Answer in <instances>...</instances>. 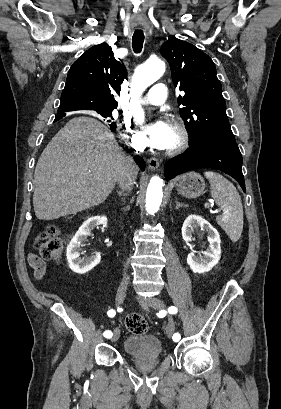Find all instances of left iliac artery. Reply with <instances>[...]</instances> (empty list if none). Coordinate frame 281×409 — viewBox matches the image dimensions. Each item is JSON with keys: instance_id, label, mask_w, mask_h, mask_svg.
Instances as JSON below:
<instances>
[{"instance_id": "1", "label": "left iliac artery", "mask_w": 281, "mask_h": 409, "mask_svg": "<svg viewBox=\"0 0 281 409\" xmlns=\"http://www.w3.org/2000/svg\"><path fill=\"white\" fill-rule=\"evenodd\" d=\"M168 312L171 313V314H175V313H177V308L174 307V306H171V307L168 308ZM172 338H173L174 341H179L181 337H180L179 333H175Z\"/></svg>"}]
</instances>
